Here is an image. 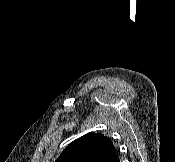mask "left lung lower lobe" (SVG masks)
Here are the masks:
<instances>
[{
  "label": "left lung lower lobe",
  "instance_id": "0a47b994",
  "mask_svg": "<svg viewBox=\"0 0 175 162\" xmlns=\"http://www.w3.org/2000/svg\"><path fill=\"white\" fill-rule=\"evenodd\" d=\"M105 162H120V160L114 151Z\"/></svg>",
  "mask_w": 175,
  "mask_h": 162
}]
</instances>
